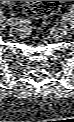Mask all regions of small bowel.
<instances>
[{
	"label": "small bowel",
	"mask_w": 74,
	"mask_h": 122,
	"mask_svg": "<svg viewBox=\"0 0 74 122\" xmlns=\"http://www.w3.org/2000/svg\"><path fill=\"white\" fill-rule=\"evenodd\" d=\"M12 1H2L4 4H10Z\"/></svg>",
	"instance_id": "obj_1"
}]
</instances>
